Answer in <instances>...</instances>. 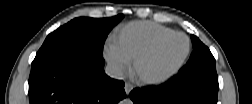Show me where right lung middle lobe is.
<instances>
[{"label":"right lung middle lobe","mask_w":252,"mask_h":104,"mask_svg":"<svg viewBox=\"0 0 252 104\" xmlns=\"http://www.w3.org/2000/svg\"><path fill=\"white\" fill-rule=\"evenodd\" d=\"M122 18V14L103 19L75 18L50 33L36 57L66 49H80L102 57L109 32Z\"/></svg>","instance_id":"right-lung-middle-lobe-1"}]
</instances>
